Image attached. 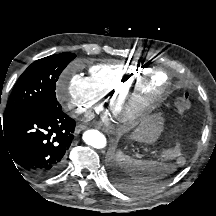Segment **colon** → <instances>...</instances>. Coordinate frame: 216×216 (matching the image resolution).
<instances>
[{"label": "colon", "mask_w": 216, "mask_h": 216, "mask_svg": "<svg viewBox=\"0 0 216 216\" xmlns=\"http://www.w3.org/2000/svg\"><path fill=\"white\" fill-rule=\"evenodd\" d=\"M176 107H177L178 112L181 115L185 114L187 111L190 110V108H191V100H190V96H189V94L187 92L182 93L177 98ZM162 156H163L164 159H168V160H173V159L181 160V158H182V149H181L180 142H176V144L173 147L163 151Z\"/></svg>", "instance_id": "obj_1"}]
</instances>
